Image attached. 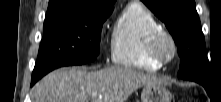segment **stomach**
Returning <instances> with one entry per match:
<instances>
[{"label":"stomach","mask_w":221,"mask_h":102,"mask_svg":"<svg viewBox=\"0 0 221 102\" xmlns=\"http://www.w3.org/2000/svg\"><path fill=\"white\" fill-rule=\"evenodd\" d=\"M172 94L162 84L146 85L141 93V102H171Z\"/></svg>","instance_id":"0dacf381"}]
</instances>
